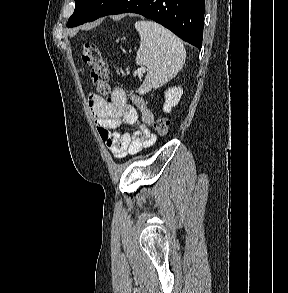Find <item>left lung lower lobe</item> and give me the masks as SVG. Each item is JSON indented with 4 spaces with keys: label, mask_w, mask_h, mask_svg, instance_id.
<instances>
[{
    "label": "left lung lower lobe",
    "mask_w": 288,
    "mask_h": 293,
    "mask_svg": "<svg viewBox=\"0 0 288 293\" xmlns=\"http://www.w3.org/2000/svg\"><path fill=\"white\" fill-rule=\"evenodd\" d=\"M205 0H116L100 17L137 13L201 50Z\"/></svg>",
    "instance_id": "left-lung-lower-lobe-1"
}]
</instances>
